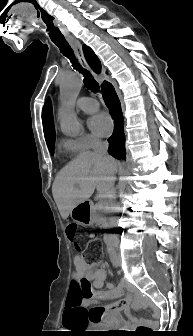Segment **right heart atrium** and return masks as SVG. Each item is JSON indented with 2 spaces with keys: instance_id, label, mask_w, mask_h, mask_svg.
I'll list each match as a JSON object with an SVG mask.
<instances>
[{
  "instance_id": "obj_1",
  "label": "right heart atrium",
  "mask_w": 193,
  "mask_h": 336,
  "mask_svg": "<svg viewBox=\"0 0 193 336\" xmlns=\"http://www.w3.org/2000/svg\"><path fill=\"white\" fill-rule=\"evenodd\" d=\"M99 143V139L91 134H82L66 141L67 147L74 152H85Z\"/></svg>"
}]
</instances>
